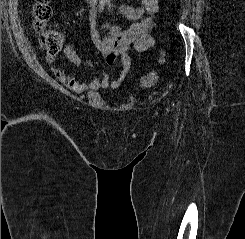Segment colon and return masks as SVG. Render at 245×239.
<instances>
[{
    "label": "colon",
    "mask_w": 245,
    "mask_h": 239,
    "mask_svg": "<svg viewBox=\"0 0 245 239\" xmlns=\"http://www.w3.org/2000/svg\"><path fill=\"white\" fill-rule=\"evenodd\" d=\"M33 22L32 28L39 37L41 48L47 54H56L62 45V36L46 29V23L52 16L50 0H35L31 8ZM158 83V74L151 72L139 80L142 88H152Z\"/></svg>",
    "instance_id": "obj_1"
}]
</instances>
